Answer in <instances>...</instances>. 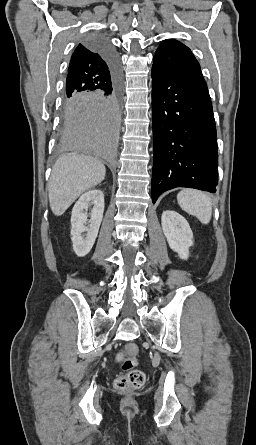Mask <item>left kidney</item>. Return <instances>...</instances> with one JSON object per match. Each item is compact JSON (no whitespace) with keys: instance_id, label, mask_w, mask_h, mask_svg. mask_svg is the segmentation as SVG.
Here are the masks:
<instances>
[{"instance_id":"5707ae66","label":"left kidney","mask_w":256,"mask_h":445,"mask_svg":"<svg viewBox=\"0 0 256 445\" xmlns=\"http://www.w3.org/2000/svg\"><path fill=\"white\" fill-rule=\"evenodd\" d=\"M163 233L170 248L181 259H188L189 247L193 245V233L187 220L172 210H166L161 217Z\"/></svg>"}]
</instances>
